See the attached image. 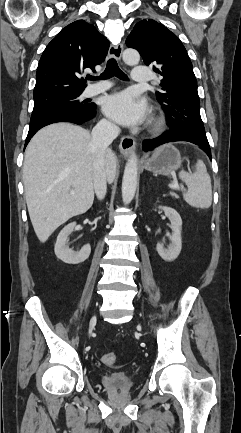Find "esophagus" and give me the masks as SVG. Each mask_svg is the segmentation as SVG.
I'll use <instances>...</instances> for the list:
<instances>
[{"mask_svg": "<svg viewBox=\"0 0 241 433\" xmlns=\"http://www.w3.org/2000/svg\"><path fill=\"white\" fill-rule=\"evenodd\" d=\"M123 52V44L119 43L116 45H111L109 48L108 55L110 58H115L120 61ZM135 147V139L131 136H123L120 140V152L125 157H128Z\"/></svg>", "mask_w": 241, "mask_h": 433, "instance_id": "1", "label": "esophagus"}]
</instances>
